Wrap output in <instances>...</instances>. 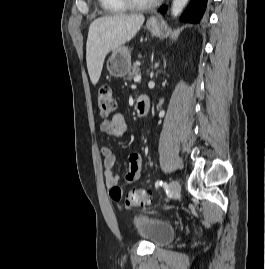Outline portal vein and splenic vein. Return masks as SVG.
<instances>
[{"instance_id":"1","label":"portal vein and splenic vein","mask_w":265,"mask_h":269,"mask_svg":"<svg viewBox=\"0 0 265 269\" xmlns=\"http://www.w3.org/2000/svg\"><path fill=\"white\" fill-rule=\"evenodd\" d=\"M141 80V76L140 75H137L135 78H134V82H140Z\"/></svg>"}]
</instances>
